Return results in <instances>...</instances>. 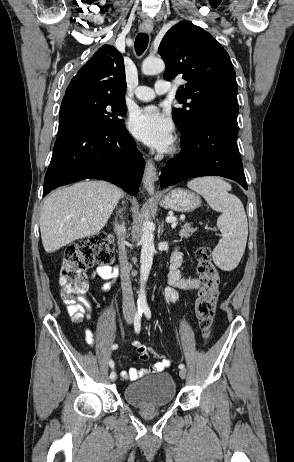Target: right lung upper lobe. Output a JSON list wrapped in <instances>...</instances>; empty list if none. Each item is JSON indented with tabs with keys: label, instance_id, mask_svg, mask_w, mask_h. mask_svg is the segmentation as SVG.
Masks as SVG:
<instances>
[{
	"label": "right lung upper lobe",
	"instance_id": "1",
	"mask_svg": "<svg viewBox=\"0 0 294 462\" xmlns=\"http://www.w3.org/2000/svg\"><path fill=\"white\" fill-rule=\"evenodd\" d=\"M125 89L123 57L115 47L103 45L73 77L64 98L97 95L124 99Z\"/></svg>",
	"mask_w": 294,
	"mask_h": 462
}]
</instances>
